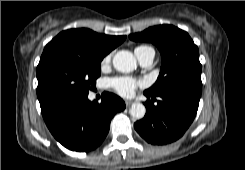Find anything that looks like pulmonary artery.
<instances>
[{"instance_id": "pulmonary-artery-1", "label": "pulmonary artery", "mask_w": 245, "mask_h": 170, "mask_svg": "<svg viewBox=\"0 0 245 170\" xmlns=\"http://www.w3.org/2000/svg\"><path fill=\"white\" fill-rule=\"evenodd\" d=\"M154 51H149L145 55L139 58V61L143 67H149L154 60Z\"/></svg>"}]
</instances>
